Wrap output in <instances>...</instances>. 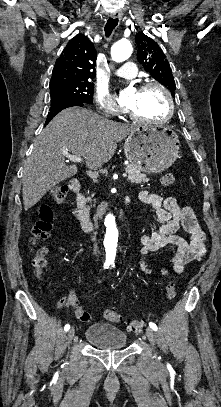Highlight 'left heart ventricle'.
<instances>
[{"instance_id":"left-heart-ventricle-1","label":"left heart ventricle","mask_w":221,"mask_h":407,"mask_svg":"<svg viewBox=\"0 0 221 407\" xmlns=\"http://www.w3.org/2000/svg\"><path fill=\"white\" fill-rule=\"evenodd\" d=\"M125 106L148 120L162 119L168 110L167 98L158 88H150L144 92L135 90L129 95Z\"/></svg>"}]
</instances>
